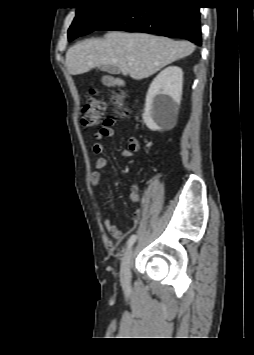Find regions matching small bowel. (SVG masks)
Instances as JSON below:
<instances>
[{"label":"small bowel","mask_w":254,"mask_h":355,"mask_svg":"<svg viewBox=\"0 0 254 355\" xmlns=\"http://www.w3.org/2000/svg\"><path fill=\"white\" fill-rule=\"evenodd\" d=\"M117 122L114 119L108 118L104 121L103 126L94 134V143L92 145V150L95 154L101 155L104 151V146L102 141L104 139H110L115 135V126ZM139 148V142L135 137H130L128 140V146L126 149L121 151V155L126 158H132ZM107 165L106 158L100 156L96 159L95 168L90 175V182L94 187H97L101 183V172L100 170L104 169ZM140 199L139 195V187L137 184H132L129 189L128 200L129 204L133 206L138 203ZM143 216V210L138 209L134 212L133 221L128 227L126 231H122L115 224L111 222L108 217L104 218V226L108 233L118 241H121L125 238L126 234L132 230H134L139 224L140 220Z\"/></svg>","instance_id":"c3829d8e"}]
</instances>
